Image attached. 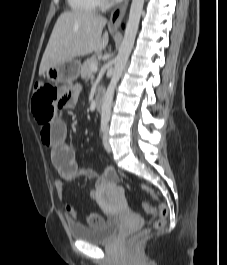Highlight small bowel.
Masks as SVG:
<instances>
[{
	"mask_svg": "<svg viewBox=\"0 0 227 265\" xmlns=\"http://www.w3.org/2000/svg\"><path fill=\"white\" fill-rule=\"evenodd\" d=\"M65 85L73 86L74 82L66 81ZM80 92V85L63 88L62 95L64 99L58 100L57 107L62 108V111H65V108L75 107ZM40 135L42 143L50 147L51 161L60 175V179L55 183V188L61 200H65L64 182L73 181L79 177L94 180V187L89 194L90 198L94 199L97 198L103 185L114 184L117 181V173L111 167L106 168L102 175L94 169L78 167L75 159V153L71 146H69L66 142L67 126L62 119H52L48 126L41 128ZM66 214L71 221H76L77 211L72 205H66ZM102 221L103 218L96 213H90L87 216V223L90 226L97 225Z\"/></svg>",
	"mask_w": 227,
	"mask_h": 265,
	"instance_id": "1",
	"label": "small bowel"
}]
</instances>
